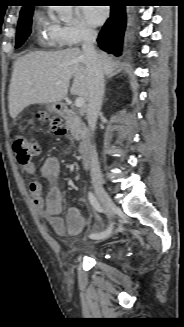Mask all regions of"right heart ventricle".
<instances>
[{"label": "right heart ventricle", "mask_w": 184, "mask_h": 327, "mask_svg": "<svg viewBox=\"0 0 184 327\" xmlns=\"http://www.w3.org/2000/svg\"><path fill=\"white\" fill-rule=\"evenodd\" d=\"M39 39L43 44L55 45L57 40L58 25L52 21H49L45 17L41 16L37 20Z\"/></svg>", "instance_id": "right-heart-ventricle-1"}]
</instances>
